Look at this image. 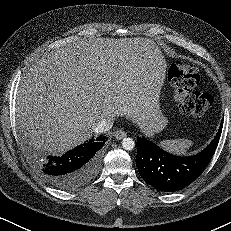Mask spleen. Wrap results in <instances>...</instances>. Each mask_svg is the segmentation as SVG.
<instances>
[{
	"label": "spleen",
	"mask_w": 231,
	"mask_h": 231,
	"mask_svg": "<svg viewBox=\"0 0 231 231\" xmlns=\"http://www.w3.org/2000/svg\"><path fill=\"white\" fill-rule=\"evenodd\" d=\"M193 145V141L188 139H175V140H163L160 142V146L177 155H184L187 152V149H189Z\"/></svg>",
	"instance_id": "spleen-1"
}]
</instances>
